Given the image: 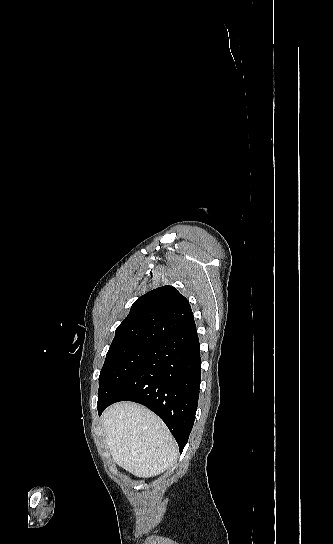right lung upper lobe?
<instances>
[{"label":"right lung upper lobe","instance_id":"right-lung-upper-lobe-1","mask_svg":"<svg viewBox=\"0 0 333 544\" xmlns=\"http://www.w3.org/2000/svg\"><path fill=\"white\" fill-rule=\"evenodd\" d=\"M195 327L188 300L173 286H162L134 302L116 329L109 350L153 345Z\"/></svg>","mask_w":333,"mask_h":544}]
</instances>
